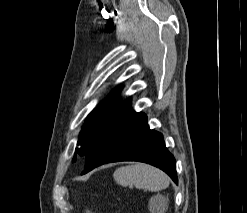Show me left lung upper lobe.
I'll list each match as a JSON object with an SVG mask.
<instances>
[{
    "label": "left lung upper lobe",
    "mask_w": 247,
    "mask_h": 213,
    "mask_svg": "<svg viewBox=\"0 0 247 213\" xmlns=\"http://www.w3.org/2000/svg\"><path fill=\"white\" fill-rule=\"evenodd\" d=\"M121 88L115 90L106 102L102 109H98L91 113L82 127L80 137L78 139L76 152L80 156H85L95 140L107 131L129 108L131 101L118 103V94ZM73 162L76 161L74 156Z\"/></svg>",
    "instance_id": "obj_1"
}]
</instances>
